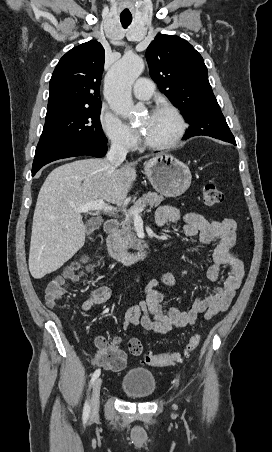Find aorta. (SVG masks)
Returning <instances> with one entry per match:
<instances>
[{"label":"aorta","mask_w":272,"mask_h":452,"mask_svg":"<svg viewBox=\"0 0 272 452\" xmlns=\"http://www.w3.org/2000/svg\"><path fill=\"white\" fill-rule=\"evenodd\" d=\"M143 70L141 57L126 54L111 67L105 77L104 96L110 108L123 118H132L137 112L131 97V87Z\"/></svg>","instance_id":"aorta-1"}]
</instances>
